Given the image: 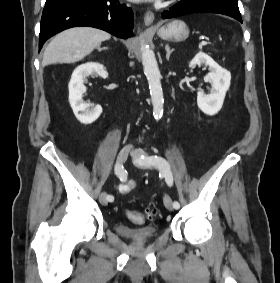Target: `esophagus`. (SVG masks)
Listing matches in <instances>:
<instances>
[{
    "label": "esophagus",
    "instance_id": "esophagus-1",
    "mask_svg": "<svg viewBox=\"0 0 280 283\" xmlns=\"http://www.w3.org/2000/svg\"><path fill=\"white\" fill-rule=\"evenodd\" d=\"M153 21H154V13L148 10L144 17L145 25L152 28Z\"/></svg>",
    "mask_w": 280,
    "mask_h": 283
}]
</instances>
